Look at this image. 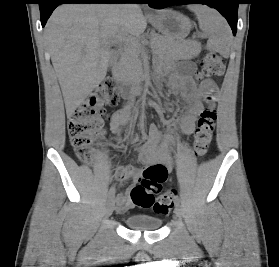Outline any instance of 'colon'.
Segmentation results:
<instances>
[{"instance_id": "obj_1", "label": "colon", "mask_w": 279, "mask_h": 267, "mask_svg": "<svg viewBox=\"0 0 279 267\" xmlns=\"http://www.w3.org/2000/svg\"><path fill=\"white\" fill-rule=\"evenodd\" d=\"M202 75L217 77L224 73L225 66L222 59L215 53H207L201 62ZM119 101L116 83L109 78L99 85L91 95L70 115L68 120V134L75 149L77 158L84 164L95 162L92 144L103 134L102 117L105 107L114 106ZM217 118L216 98L208 95L207 106L198 119L194 132L193 153L199 158L206 154L212 141ZM166 178L165 170L159 166H148L144 169L140 183L130 193L134 205L140 208H153L156 213L167 214L173 208L176 190L171 189L160 195L161 184Z\"/></svg>"}]
</instances>
